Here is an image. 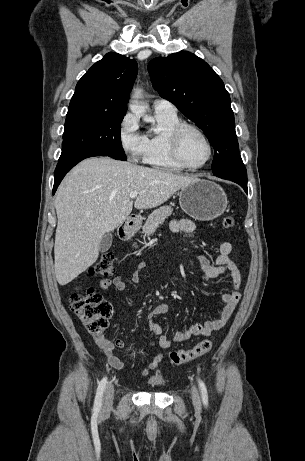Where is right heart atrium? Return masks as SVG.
<instances>
[{"label":"right heart atrium","mask_w":305,"mask_h":461,"mask_svg":"<svg viewBox=\"0 0 305 461\" xmlns=\"http://www.w3.org/2000/svg\"><path fill=\"white\" fill-rule=\"evenodd\" d=\"M118 137L123 150L132 159H137L141 153L142 136L138 132L137 121L132 114H126L121 120Z\"/></svg>","instance_id":"1"}]
</instances>
